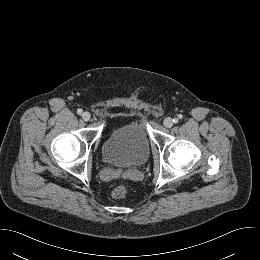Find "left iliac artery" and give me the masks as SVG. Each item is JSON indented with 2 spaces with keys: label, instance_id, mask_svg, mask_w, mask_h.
<instances>
[{
  "label": "left iliac artery",
  "instance_id": "44dca946",
  "mask_svg": "<svg viewBox=\"0 0 260 260\" xmlns=\"http://www.w3.org/2000/svg\"><path fill=\"white\" fill-rule=\"evenodd\" d=\"M179 119H182V115H178V118L173 119V122L178 123Z\"/></svg>",
  "mask_w": 260,
  "mask_h": 260
}]
</instances>
